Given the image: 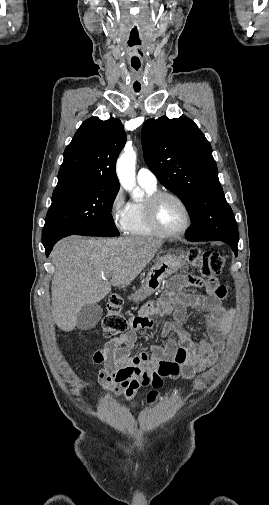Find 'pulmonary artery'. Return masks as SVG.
Segmentation results:
<instances>
[{"mask_svg": "<svg viewBox=\"0 0 269 505\" xmlns=\"http://www.w3.org/2000/svg\"><path fill=\"white\" fill-rule=\"evenodd\" d=\"M137 181L139 184L150 187L157 186V178L155 174L148 168L142 167L137 172Z\"/></svg>", "mask_w": 269, "mask_h": 505, "instance_id": "obj_1", "label": "pulmonary artery"}]
</instances>
